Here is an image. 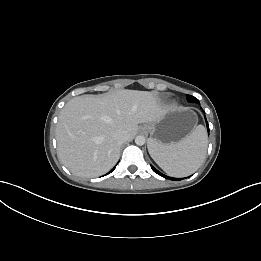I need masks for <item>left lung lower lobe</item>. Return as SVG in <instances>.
<instances>
[{
    "instance_id": "1",
    "label": "left lung lower lobe",
    "mask_w": 261,
    "mask_h": 261,
    "mask_svg": "<svg viewBox=\"0 0 261 261\" xmlns=\"http://www.w3.org/2000/svg\"><path fill=\"white\" fill-rule=\"evenodd\" d=\"M206 124H207V129H208V132H209V126H208V122H207V121H206ZM152 170H153L155 173H157L158 175H160V176H162V177H164V178H166V179H170V180H174V181H179V180H181L180 178L168 177V176H166V175L160 173V172H159L157 169H155L154 167H152Z\"/></svg>"
}]
</instances>
